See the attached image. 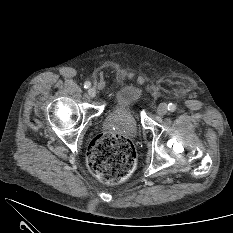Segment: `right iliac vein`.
I'll use <instances>...</instances> for the list:
<instances>
[{
    "label": "right iliac vein",
    "instance_id": "right-iliac-vein-1",
    "mask_svg": "<svg viewBox=\"0 0 233 233\" xmlns=\"http://www.w3.org/2000/svg\"><path fill=\"white\" fill-rule=\"evenodd\" d=\"M88 95L91 97V98H94L96 96V89L95 88H90L88 90Z\"/></svg>",
    "mask_w": 233,
    "mask_h": 233
}]
</instances>
